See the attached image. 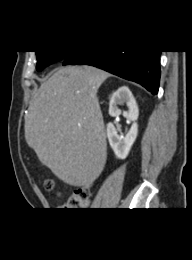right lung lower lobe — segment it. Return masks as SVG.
I'll return each mask as SVG.
<instances>
[{
    "label": "right lung lower lobe",
    "mask_w": 192,
    "mask_h": 260,
    "mask_svg": "<svg viewBox=\"0 0 192 260\" xmlns=\"http://www.w3.org/2000/svg\"><path fill=\"white\" fill-rule=\"evenodd\" d=\"M160 54L161 51H77L71 52L63 60V65L95 66L137 82L152 94H157L160 80Z\"/></svg>",
    "instance_id": "obj_1"
}]
</instances>
